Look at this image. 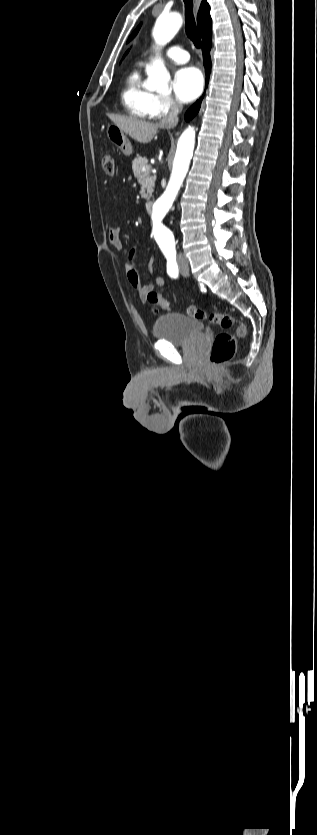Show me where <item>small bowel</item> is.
Instances as JSON below:
<instances>
[{
  "label": "small bowel",
  "mask_w": 317,
  "mask_h": 835,
  "mask_svg": "<svg viewBox=\"0 0 317 835\" xmlns=\"http://www.w3.org/2000/svg\"><path fill=\"white\" fill-rule=\"evenodd\" d=\"M107 241L115 249H117V250L122 249V243H121V240H120V229H119L118 226H111L109 228L108 234H107ZM134 258H135V253L132 250L129 253V258H128L129 260L126 263L125 269H126V273H127V277H128V281H129L130 285L135 290L138 291L140 296L143 297V296L146 295V293L148 291L152 290L153 285L152 284H143L141 282L140 277H139L138 272H137V269H136ZM154 267H155V262L150 261L148 263V271H149L150 274L154 273ZM155 284L158 287H163L164 284H165L164 278L161 275H155Z\"/></svg>",
  "instance_id": "c3829d8e"
}]
</instances>
